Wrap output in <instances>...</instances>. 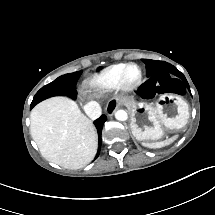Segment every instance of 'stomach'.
<instances>
[{"instance_id":"obj_1","label":"stomach","mask_w":215,"mask_h":215,"mask_svg":"<svg viewBox=\"0 0 215 215\" xmlns=\"http://www.w3.org/2000/svg\"><path fill=\"white\" fill-rule=\"evenodd\" d=\"M123 104L130 111V128L139 141L155 142L164 137L166 141H173L175 137L168 136L177 134L188 123V104L178 95L165 94L154 103L125 98Z\"/></svg>"}]
</instances>
